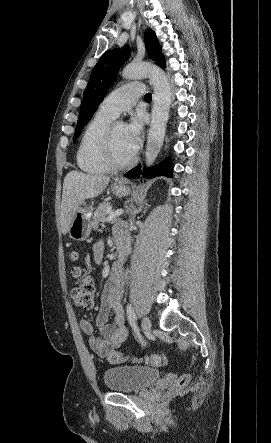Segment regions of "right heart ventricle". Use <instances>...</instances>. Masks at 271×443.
I'll list each match as a JSON object with an SVG mask.
<instances>
[{
  "label": "right heart ventricle",
  "instance_id": "e07e8e85",
  "mask_svg": "<svg viewBox=\"0 0 271 443\" xmlns=\"http://www.w3.org/2000/svg\"><path fill=\"white\" fill-rule=\"evenodd\" d=\"M112 120L113 117L97 111L86 124L76 151V163L83 172L99 175L110 171L104 139Z\"/></svg>",
  "mask_w": 271,
  "mask_h": 443
}]
</instances>
